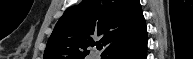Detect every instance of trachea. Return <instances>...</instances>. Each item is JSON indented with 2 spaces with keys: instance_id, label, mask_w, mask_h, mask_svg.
I'll return each instance as SVG.
<instances>
[{
  "instance_id": "1",
  "label": "trachea",
  "mask_w": 193,
  "mask_h": 59,
  "mask_svg": "<svg viewBox=\"0 0 193 59\" xmlns=\"http://www.w3.org/2000/svg\"><path fill=\"white\" fill-rule=\"evenodd\" d=\"M97 49H98V50H101V49H102V46H97Z\"/></svg>"
}]
</instances>
